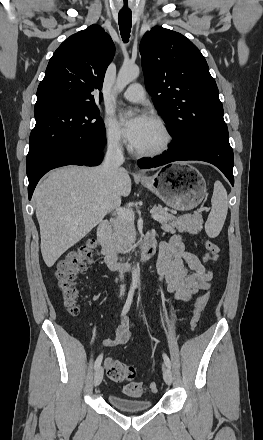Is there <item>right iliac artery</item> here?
Masks as SVG:
<instances>
[{"label":"right iliac artery","instance_id":"1","mask_svg":"<svg viewBox=\"0 0 263 440\" xmlns=\"http://www.w3.org/2000/svg\"><path fill=\"white\" fill-rule=\"evenodd\" d=\"M133 295H134V289L132 288V289H130V291L128 293L127 300H126V302L124 304V307H123V310H122V315H125L126 313H128V311L130 309V306H131V303L133 301ZM102 358H103V354H100L97 357V359H96V361L94 363V368L95 369H97L100 366V364L102 362Z\"/></svg>","mask_w":263,"mask_h":440}]
</instances>
